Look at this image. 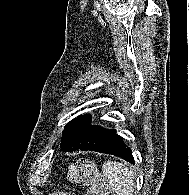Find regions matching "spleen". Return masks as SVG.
Masks as SVG:
<instances>
[{
    "instance_id": "1",
    "label": "spleen",
    "mask_w": 189,
    "mask_h": 195,
    "mask_svg": "<svg viewBox=\"0 0 189 195\" xmlns=\"http://www.w3.org/2000/svg\"><path fill=\"white\" fill-rule=\"evenodd\" d=\"M102 172L117 195H133L135 176L123 163L107 161L102 166Z\"/></svg>"
}]
</instances>
